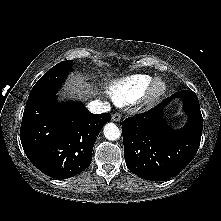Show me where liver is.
<instances>
[{
	"instance_id": "liver-1",
	"label": "liver",
	"mask_w": 221,
	"mask_h": 221,
	"mask_svg": "<svg viewBox=\"0 0 221 221\" xmlns=\"http://www.w3.org/2000/svg\"><path fill=\"white\" fill-rule=\"evenodd\" d=\"M95 94L96 90H93L92 85L87 83L81 74L73 75L62 92L63 97L77 96L79 99L83 100H87L88 97Z\"/></svg>"
}]
</instances>
